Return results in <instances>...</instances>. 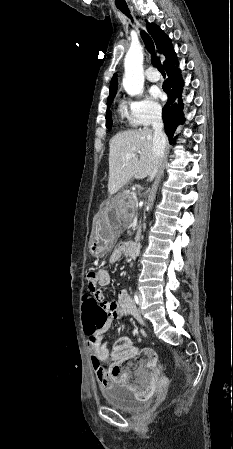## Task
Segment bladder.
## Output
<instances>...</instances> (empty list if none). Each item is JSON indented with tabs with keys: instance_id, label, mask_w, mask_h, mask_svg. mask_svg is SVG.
Here are the masks:
<instances>
[{
	"instance_id": "31cf9c89",
	"label": "bladder",
	"mask_w": 233,
	"mask_h": 449,
	"mask_svg": "<svg viewBox=\"0 0 233 449\" xmlns=\"http://www.w3.org/2000/svg\"><path fill=\"white\" fill-rule=\"evenodd\" d=\"M103 398L112 408L133 412L147 408V400H137L131 389L122 385H113L105 388L102 392Z\"/></svg>"
}]
</instances>
